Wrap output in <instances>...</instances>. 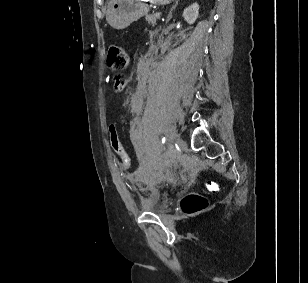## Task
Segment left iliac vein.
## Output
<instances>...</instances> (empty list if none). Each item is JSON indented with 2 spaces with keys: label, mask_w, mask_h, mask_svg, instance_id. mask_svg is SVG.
Instances as JSON below:
<instances>
[{
  "label": "left iliac vein",
  "mask_w": 308,
  "mask_h": 283,
  "mask_svg": "<svg viewBox=\"0 0 308 283\" xmlns=\"http://www.w3.org/2000/svg\"><path fill=\"white\" fill-rule=\"evenodd\" d=\"M176 143L181 150H184L186 148V142L178 135H176Z\"/></svg>",
  "instance_id": "left-iliac-vein-1"
}]
</instances>
